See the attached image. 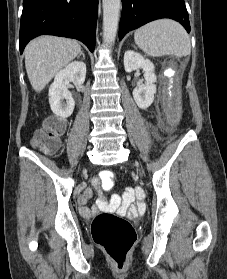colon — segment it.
I'll use <instances>...</instances> for the list:
<instances>
[{"instance_id":"5ec220e1","label":"colon","mask_w":227,"mask_h":279,"mask_svg":"<svg viewBox=\"0 0 227 279\" xmlns=\"http://www.w3.org/2000/svg\"><path fill=\"white\" fill-rule=\"evenodd\" d=\"M65 129V122L57 118H49L44 127L33 137V144L44 153L51 154L60 147L59 135ZM116 176L110 171L101 173L99 183L106 189L113 187ZM136 191H126V195H135ZM95 242L117 264L124 265L135 241L136 233L133 226L126 219L111 212H101L93 220L91 227Z\"/></svg>"}]
</instances>
